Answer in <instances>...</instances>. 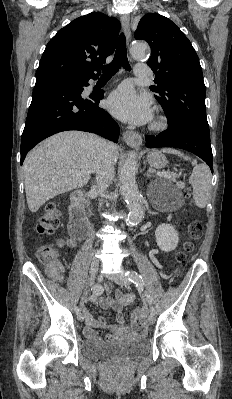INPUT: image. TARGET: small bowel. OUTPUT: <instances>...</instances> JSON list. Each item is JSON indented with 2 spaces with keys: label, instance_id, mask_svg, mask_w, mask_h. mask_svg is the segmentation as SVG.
Instances as JSON below:
<instances>
[{
  "label": "small bowel",
  "instance_id": "small-bowel-1",
  "mask_svg": "<svg viewBox=\"0 0 232 399\" xmlns=\"http://www.w3.org/2000/svg\"><path fill=\"white\" fill-rule=\"evenodd\" d=\"M60 245L62 247L64 246L75 247L76 243L67 242V243H61ZM106 290L109 293L114 291L117 301L113 302V300L110 297H106L100 300V306L102 308H108L110 306H114L117 323L108 324L104 316L99 315L94 317L89 312L86 306L81 305L79 307V311L85 318V323L81 326V330L85 333L89 345L97 344L98 334L96 332V329L98 328L108 330L106 333V338L108 339H114L120 335H124L131 332V327L122 323V317H123V308L125 306H129L132 304L133 301L132 294L124 295L121 291L114 290V287L111 283L106 284Z\"/></svg>",
  "mask_w": 232,
  "mask_h": 399
}]
</instances>
